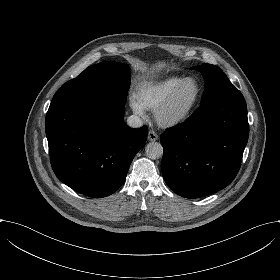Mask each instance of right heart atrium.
Returning a JSON list of instances; mask_svg holds the SVG:
<instances>
[{
    "label": "right heart atrium",
    "mask_w": 280,
    "mask_h": 280,
    "mask_svg": "<svg viewBox=\"0 0 280 280\" xmlns=\"http://www.w3.org/2000/svg\"><path fill=\"white\" fill-rule=\"evenodd\" d=\"M131 107L133 108V110L138 113V114H143V108L142 106L137 102V100L133 99L131 100Z\"/></svg>",
    "instance_id": "right-heart-atrium-1"
}]
</instances>
